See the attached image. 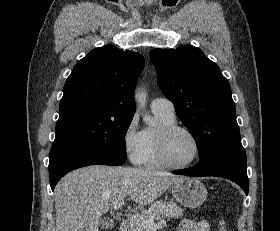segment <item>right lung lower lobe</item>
<instances>
[{"label":"right lung lower lobe","instance_id":"obj_1","mask_svg":"<svg viewBox=\"0 0 280 231\" xmlns=\"http://www.w3.org/2000/svg\"><path fill=\"white\" fill-rule=\"evenodd\" d=\"M125 160L106 156L97 151L72 144H53L50 151L49 175L50 186L54 187L58 181L68 172L84 166L102 165H121Z\"/></svg>","mask_w":280,"mask_h":231}]
</instances>
